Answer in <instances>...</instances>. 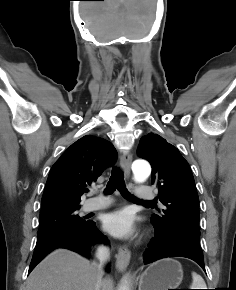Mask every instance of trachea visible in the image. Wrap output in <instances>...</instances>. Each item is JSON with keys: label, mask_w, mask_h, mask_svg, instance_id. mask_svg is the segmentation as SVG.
<instances>
[{"label": "trachea", "mask_w": 236, "mask_h": 290, "mask_svg": "<svg viewBox=\"0 0 236 290\" xmlns=\"http://www.w3.org/2000/svg\"><path fill=\"white\" fill-rule=\"evenodd\" d=\"M116 189L120 191L121 195L125 199L140 201L126 189L124 182V174L119 168L112 169V173L107 183L106 189L104 190V193L112 194ZM145 202L152 203L151 201Z\"/></svg>", "instance_id": "obj_1"}]
</instances>
